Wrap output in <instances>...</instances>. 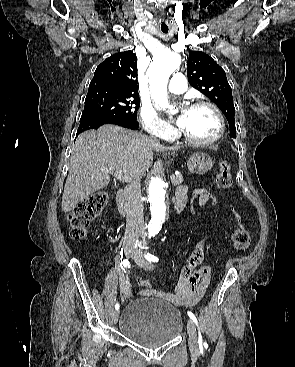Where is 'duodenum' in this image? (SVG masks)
Segmentation results:
<instances>
[{
    "label": "duodenum",
    "instance_id": "obj_1",
    "mask_svg": "<svg viewBox=\"0 0 295 367\" xmlns=\"http://www.w3.org/2000/svg\"><path fill=\"white\" fill-rule=\"evenodd\" d=\"M117 207L122 215H126L129 212V202L125 190L120 189L117 193ZM184 203L180 201H175L174 210L179 212L183 209Z\"/></svg>",
    "mask_w": 295,
    "mask_h": 367
}]
</instances>
